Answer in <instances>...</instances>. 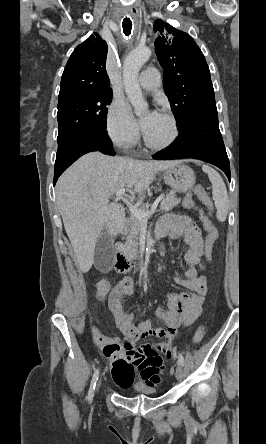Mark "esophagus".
Instances as JSON below:
<instances>
[{"label": "esophagus", "mask_w": 266, "mask_h": 444, "mask_svg": "<svg viewBox=\"0 0 266 444\" xmlns=\"http://www.w3.org/2000/svg\"><path fill=\"white\" fill-rule=\"evenodd\" d=\"M130 14H131L134 18H137V17H138V10H137V8H136L135 6H132V7L130 8Z\"/></svg>", "instance_id": "obj_1"}]
</instances>
